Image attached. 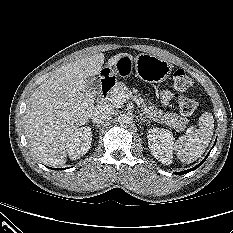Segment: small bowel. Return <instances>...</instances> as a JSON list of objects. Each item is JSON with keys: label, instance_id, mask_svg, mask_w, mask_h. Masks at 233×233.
Segmentation results:
<instances>
[{"label": "small bowel", "instance_id": "small-bowel-1", "mask_svg": "<svg viewBox=\"0 0 233 233\" xmlns=\"http://www.w3.org/2000/svg\"><path fill=\"white\" fill-rule=\"evenodd\" d=\"M172 98H173V94L170 91H164L161 94V99L164 104L169 103Z\"/></svg>", "mask_w": 233, "mask_h": 233}]
</instances>
